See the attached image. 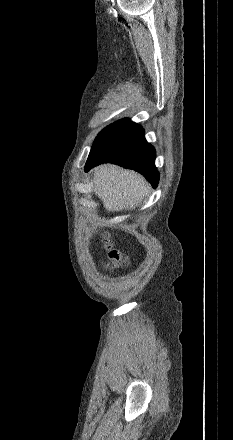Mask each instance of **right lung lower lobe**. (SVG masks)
<instances>
[{"label": "right lung lower lobe", "mask_w": 233, "mask_h": 440, "mask_svg": "<svg viewBox=\"0 0 233 440\" xmlns=\"http://www.w3.org/2000/svg\"><path fill=\"white\" fill-rule=\"evenodd\" d=\"M155 156L154 148L144 138L143 128L125 118L99 133L85 169L88 171L101 163L111 162L140 172L155 188L159 181Z\"/></svg>", "instance_id": "98d812e1"}]
</instances>
